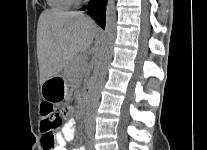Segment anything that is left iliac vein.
I'll return each instance as SVG.
<instances>
[{
  "instance_id": "4c4485c4",
  "label": "left iliac vein",
  "mask_w": 207,
  "mask_h": 150,
  "mask_svg": "<svg viewBox=\"0 0 207 150\" xmlns=\"http://www.w3.org/2000/svg\"><path fill=\"white\" fill-rule=\"evenodd\" d=\"M88 150H95V148H94V145H93L92 141H90V143H89Z\"/></svg>"
}]
</instances>
